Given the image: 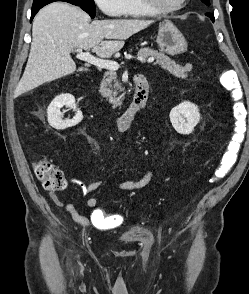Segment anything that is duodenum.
Wrapping results in <instances>:
<instances>
[{
    "instance_id": "duodenum-1",
    "label": "duodenum",
    "mask_w": 249,
    "mask_h": 294,
    "mask_svg": "<svg viewBox=\"0 0 249 294\" xmlns=\"http://www.w3.org/2000/svg\"><path fill=\"white\" fill-rule=\"evenodd\" d=\"M134 84L135 94L131 105L115 121L116 129L120 132L130 127L134 119L145 109L147 104L149 87L145 77L137 74L134 78Z\"/></svg>"
}]
</instances>
